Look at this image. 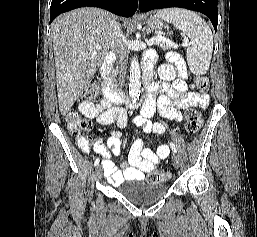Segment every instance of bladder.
Instances as JSON below:
<instances>
[{
	"instance_id": "bladder-1",
	"label": "bladder",
	"mask_w": 257,
	"mask_h": 237,
	"mask_svg": "<svg viewBox=\"0 0 257 237\" xmlns=\"http://www.w3.org/2000/svg\"><path fill=\"white\" fill-rule=\"evenodd\" d=\"M168 190L165 182L151 183L131 180L120 193L134 205L145 207L157 202Z\"/></svg>"
}]
</instances>
